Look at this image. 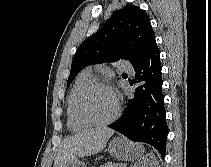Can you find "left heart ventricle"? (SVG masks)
I'll list each match as a JSON object with an SVG mask.
<instances>
[{
  "instance_id": "1",
  "label": "left heart ventricle",
  "mask_w": 211,
  "mask_h": 167,
  "mask_svg": "<svg viewBox=\"0 0 211 167\" xmlns=\"http://www.w3.org/2000/svg\"><path fill=\"white\" fill-rule=\"evenodd\" d=\"M83 110L89 117L95 120H107L115 111L114 97L107 89L95 88L85 96Z\"/></svg>"
}]
</instances>
